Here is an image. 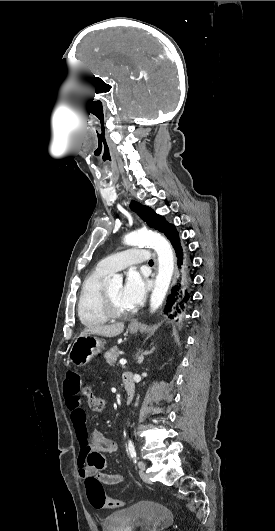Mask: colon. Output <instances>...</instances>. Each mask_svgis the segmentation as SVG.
Instances as JSON below:
<instances>
[{"label": "colon", "mask_w": 275, "mask_h": 531, "mask_svg": "<svg viewBox=\"0 0 275 531\" xmlns=\"http://www.w3.org/2000/svg\"><path fill=\"white\" fill-rule=\"evenodd\" d=\"M84 389L85 391H81L80 393L81 402H88L91 410L101 412L104 407L103 398L98 395L96 391L91 389L90 383H85ZM83 486L87 489L86 494L92 502L91 506L93 509L98 511H109L111 508H117L120 501H109L108 504H103L105 491L95 482L93 476H86Z\"/></svg>", "instance_id": "colon-1"}]
</instances>
